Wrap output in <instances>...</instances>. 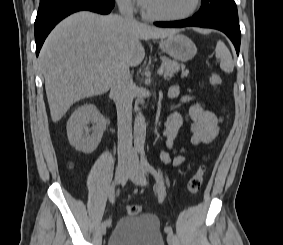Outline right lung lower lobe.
I'll list each match as a JSON object with an SVG mask.
<instances>
[{
  "instance_id": "1",
  "label": "right lung lower lobe",
  "mask_w": 283,
  "mask_h": 245,
  "mask_svg": "<svg viewBox=\"0 0 283 245\" xmlns=\"http://www.w3.org/2000/svg\"><path fill=\"white\" fill-rule=\"evenodd\" d=\"M115 5L114 0H44L40 2L35 20L36 55L50 31L68 15L89 10L100 14H108Z\"/></svg>"
}]
</instances>
